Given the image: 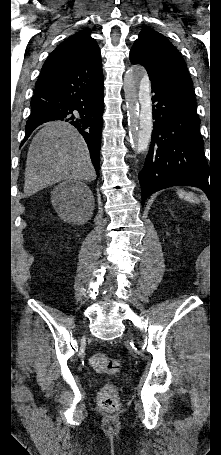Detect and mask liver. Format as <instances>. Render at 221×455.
Instances as JSON below:
<instances>
[{"instance_id":"6515ba94","label":"liver","mask_w":221,"mask_h":455,"mask_svg":"<svg viewBox=\"0 0 221 455\" xmlns=\"http://www.w3.org/2000/svg\"><path fill=\"white\" fill-rule=\"evenodd\" d=\"M95 178L87 145L75 127L53 121L35 135L27 154L25 196L63 180L92 181Z\"/></svg>"}]
</instances>
